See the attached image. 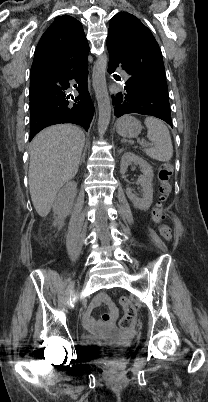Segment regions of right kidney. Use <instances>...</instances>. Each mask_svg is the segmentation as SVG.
Returning <instances> with one entry per match:
<instances>
[{"label": "right kidney", "mask_w": 208, "mask_h": 402, "mask_svg": "<svg viewBox=\"0 0 208 402\" xmlns=\"http://www.w3.org/2000/svg\"><path fill=\"white\" fill-rule=\"evenodd\" d=\"M76 194V182H67V184L63 186L62 190H60L52 206L55 218L53 226H58V228H61L65 218H67V216H69V214L72 212Z\"/></svg>", "instance_id": "ca27d5eb"}]
</instances>
